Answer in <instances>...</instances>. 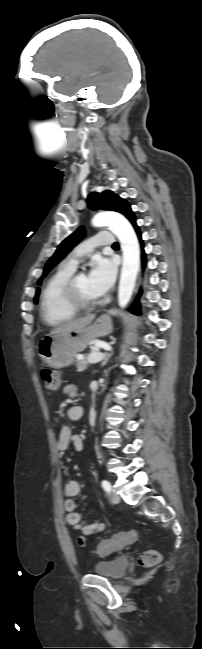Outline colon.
I'll return each mask as SVG.
<instances>
[{
  "label": "colon",
  "mask_w": 202,
  "mask_h": 649,
  "mask_svg": "<svg viewBox=\"0 0 202 649\" xmlns=\"http://www.w3.org/2000/svg\"><path fill=\"white\" fill-rule=\"evenodd\" d=\"M41 379L46 389L56 391L61 386L60 374L57 370L51 368H43L41 370ZM135 531H122L114 534L109 539L99 543L97 546V553L100 555H109L115 551H121L127 548L136 540ZM161 561V555L156 550H147L143 552L139 558L140 565L151 568L158 565Z\"/></svg>",
  "instance_id": "obj_1"
}]
</instances>
